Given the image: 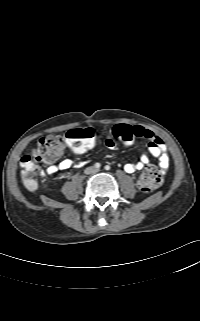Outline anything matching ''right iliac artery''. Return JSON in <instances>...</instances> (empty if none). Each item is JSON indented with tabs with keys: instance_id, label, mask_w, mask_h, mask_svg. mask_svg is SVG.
<instances>
[{
	"instance_id": "obj_1",
	"label": "right iliac artery",
	"mask_w": 200,
	"mask_h": 321,
	"mask_svg": "<svg viewBox=\"0 0 200 321\" xmlns=\"http://www.w3.org/2000/svg\"><path fill=\"white\" fill-rule=\"evenodd\" d=\"M94 166L99 169L101 167V164L100 163H95Z\"/></svg>"
}]
</instances>
